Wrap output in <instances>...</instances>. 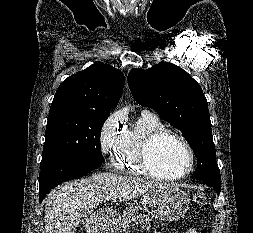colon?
Listing matches in <instances>:
<instances>
[{"label": "colon", "instance_id": "1", "mask_svg": "<svg viewBox=\"0 0 253 233\" xmlns=\"http://www.w3.org/2000/svg\"><path fill=\"white\" fill-rule=\"evenodd\" d=\"M193 199L196 203H202L205 200L204 195L200 193H195ZM201 233H207V231L203 229Z\"/></svg>", "mask_w": 253, "mask_h": 233}]
</instances>
